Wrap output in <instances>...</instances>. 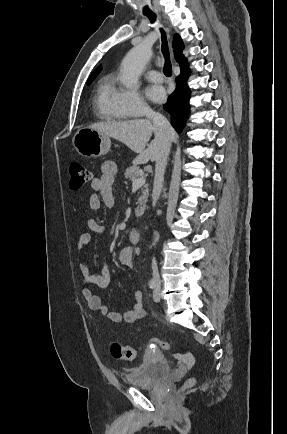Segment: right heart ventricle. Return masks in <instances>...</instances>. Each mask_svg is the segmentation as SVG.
<instances>
[{
	"instance_id": "obj_1",
	"label": "right heart ventricle",
	"mask_w": 287,
	"mask_h": 434,
	"mask_svg": "<svg viewBox=\"0 0 287 434\" xmlns=\"http://www.w3.org/2000/svg\"><path fill=\"white\" fill-rule=\"evenodd\" d=\"M116 91L115 81L111 75L102 77L98 82L94 97V108L101 118L115 121L126 119V116L117 109L114 103Z\"/></svg>"
}]
</instances>
